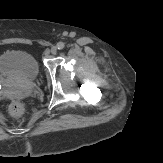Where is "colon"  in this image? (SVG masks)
<instances>
[{
    "label": "colon",
    "mask_w": 163,
    "mask_h": 163,
    "mask_svg": "<svg viewBox=\"0 0 163 163\" xmlns=\"http://www.w3.org/2000/svg\"><path fill=\"white\" fill-rule=\"evenodd\" d=\"M10 111L13 116L20 117L24 114V106L21 102L14 101L10 106Z\"/></svg>",
    "instance_id": "5ec220e1"
}]
</instances>
